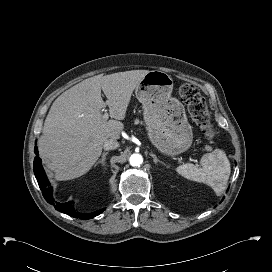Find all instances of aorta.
<instances>
[{
	"mask_svg": "<svg viewBox=\"0 0 272 272\" xmlns=\"http://www.w3.org/2000/svg\"><path fill=\"white\" fill-rule=\"evenodd\" d=\"M130 165L133 167H139L143 163V158L140 154H132L129 159Z\"/></svg>",
	"mask_w": 272,
	"mask_h": 272,
	"instance_id": "aorta-1",
	"label": "aorta"
}]
</instances>
